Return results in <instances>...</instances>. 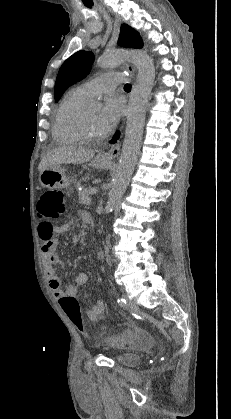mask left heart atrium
<instances>
[{
    "label": "left heart atrium",
    "mask_w": 231,
    "mask_h": 419,
    "mask_svg": "<svg viewBox=\"0 0 231 419\" xmlns=\"http://www.w3.org/2000/svg\"><path fill=\"white\" fill-rule=\"evenodd\" d=\"M122 106L120 102L109 97L98 114V122L103 134L109 133L117 124L121 115Z\"/></svg>",
    "instance_id": "left-heart-atrium-1"
}]
</instances>
